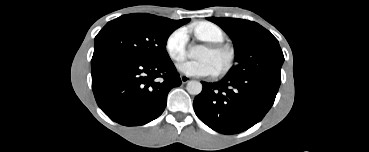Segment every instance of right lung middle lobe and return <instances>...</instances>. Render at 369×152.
I'll return each mask as SVG.
<instances>
[{
	"instance_id": "1",
	"label": "right lung middle lobe",
	"mask_w": 369,
	"mask_h": 152,
	"mask_svg": "<svg viewBox=\"0 0 369 152\" xmlns=\"http://www.w3.org/2000/svg\"><path fill=\"white\" fill-rule=\"evenodd\" d=\"M175 29L146 13L120 16L108 22L95 37L91 66L111 58L143 62L167 59L166 42Z\"/></svg>"
}]
</instances>
